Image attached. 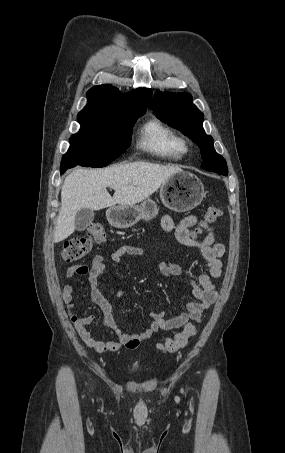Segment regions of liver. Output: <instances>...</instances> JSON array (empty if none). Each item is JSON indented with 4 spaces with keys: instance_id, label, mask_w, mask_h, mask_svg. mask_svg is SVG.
Returning a JSON list of instances; mask_svg holds the SVG:
<instances>
[{
    "instance_id": "6515ba94",
    "label": "liver",
    "mask_w": 285,
    "mask_h": 453,
    "mask_svg": "<svg viewBox=\"0 0 285 453\" xmlns=\"http://www.w3.org/2000/svg\"><path fill=\"white\" fill-rule=\"evenodd\" d=\"M177 166L149 162H132L105 169L80 168L71 172L61 188V209L55 226L54 242L58 243L75 230V216L83 208L101 210L107 207L133 206L152 195L173 174ZM107 187L114 189L113 197Z\"/></svg>"
}]
</instances>
